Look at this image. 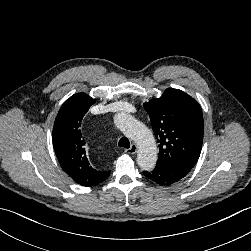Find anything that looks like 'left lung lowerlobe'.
Wrapping results in <instances>:
<instances>
[{"label":"left lung lower lobe","mask_w":251,"mask_h":251,"mask_svg":"<svg viewBox=\"0 0 251 251\" xmlns=\"http://www.w3.org/2000/svg\"><path fill=\"white\" fill-rule=\"evenodd\" d=\"M187 173L179 168L164 164H156L155 169L151 172L143 171L144 176L150 180L166 186L181 180Z\"/></svg>","instance_id":"left-lung-lower-lobe-1"}]
</instances>
